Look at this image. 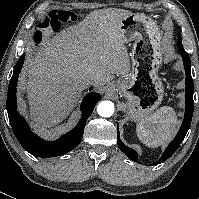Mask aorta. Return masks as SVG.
<instances>
[{
    "label": "aorta",
    "instance_id": "762f6f07",
    "mask_svg": "<svg viewBox=\"0 0 199 199\" xmlns=\"http://www.w3.org/2000/svg\"><path fill=\"white\" fill-rule=\"evenodd\" d=\"M97 112L102 117H110L114 113V104L111 101H102L97 107Z\"/></svg>",
    "mask_w": 199,
    "mask_h": 199
}]
</instances>
